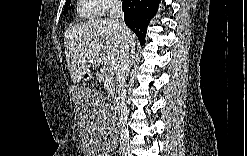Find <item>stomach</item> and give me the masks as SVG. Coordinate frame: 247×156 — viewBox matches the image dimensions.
<instances>
[{
  "mask_svg": "<svg viewBox=\"0 0 247 156\" xmlns=\"http://www.w3.org/2000/svg\"><path fill=\"white\" fill-rule=\"evenodd\" d=\"M86 76H87L88 78H90V77H91V74L88 72V73L86 74Z\"/></svg>",
  "mask_w": 247,
  "mask_h": 156,
  "instance_id": "obj_1",
  "label": "stomach"
}]
</instances>
